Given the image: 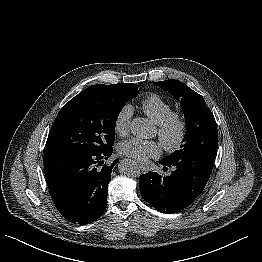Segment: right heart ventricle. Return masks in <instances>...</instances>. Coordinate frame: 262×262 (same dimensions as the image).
I'll use <instances>...</instances> for the list:
<instances>
[{"label":"right heart ventricle","mask_w":262,"mask_h":262,"mask_svg":"<svg viewBox=\"0 0 262 262\" xmlns=\"http://www.w3.org/2000/svg\"><path fill=\"white\" fill-rule=\"evenodd\" d=\"M141 109L156 124L161 123L172 111L171 105L157 94H150L143 99Z\"/></svg>","instance_id":"e07e8e85"}]
</instances>
